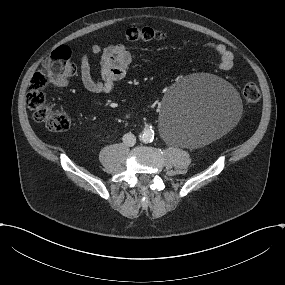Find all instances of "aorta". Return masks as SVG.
<instances>
[{
    "label": "aorta",
    "instance_id": "aorta-1",
    "mask_svg": "<svg viewBox=\"0 0 285 285\" xmlns=\"http://www.w3.org/2000/svg\"><path fill=\"white\" fill-rule=\"evenodd\" d=\"M154 139V130L145 128L140 134V140L144 143L152 142Z\"/></svg>",
    "mask_w": 285,
    "mask_h": 285
}]
</instances>
